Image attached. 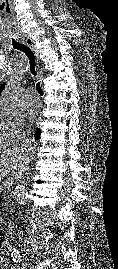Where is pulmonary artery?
<instances>
[{"mask_svg":"<svg viewBox=\"0 0 118 269\" xmlns=\"http://www.w3.org/2000/svg\"><path fill=\"white\" fill-rule=\"evenodd\" d=\"M27 103H28L29 105H37V104L39 103V99H38L37 97H32V96H30V97H28V99H27Z\"/></svg>","mask_w":118,"mask_h":269,"instance_id":"obj_1","label":"pulmonary artery"}]
</instances>
